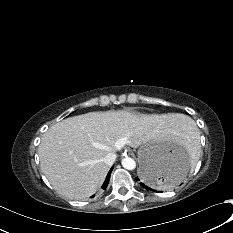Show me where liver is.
<instances>
[{
  "instance_id": "obj_1",
  "label": "liver",
  "mask_w": 233,
  "mask_h": 233,
  "mask_svg": "<svg viewBox=\"0 0 233 233\" xmlns=\"http://www.w3.org/2000/svg\"><path fill=\"white\" fill-rule=\"evenodd\" d=\"M186 116L168 112L162 115L130 111L89 112L54 124L42 136L38 148L41 169L61 195L85 199L105 180L110 166L108 153L125 145L169 140Z\"/></svg>"
}]
</instances>
